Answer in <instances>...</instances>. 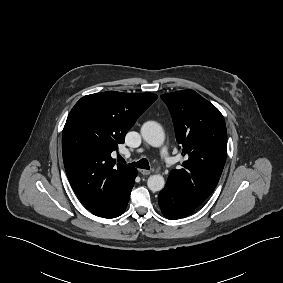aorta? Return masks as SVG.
I'll return each instance as SVG.
<instances>
[{
    "label": "aorta",
    "mask_w": 283,
    "mask_h": 283,
    "mask_svg": "<svg viewBox=\"0 0 283 283\" xmlns=\"http://www.w3.org/2000/svg\"><path fill=\"white\" fill-rule=\"evenodd\" d=\"M141 135L153 147H160L165 139L163 128L155 121L145 122L141 128ZM164 185V177L160 174L151 175L148 178L147 186L153 192L161 191Z\"/></svg>",
    "instance_id": "obj_1"
}]
</instances>
